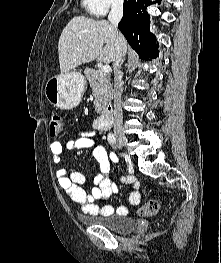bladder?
I'll return each mask as SVG.
<instances>
[{"mask_svg":"<svg viewBox=\"0 0 221 263\" xmlns=\"http://www.w3.org/2000/svg\"><path fill=\"white\" fill-rule=\"evenodd\" d=\"M80 220L90 225L100 226L116 233H128L137 227V221L118 214L81 217Z\"/></svg>","mask_w":221,"mask_h":263,"instance_id":"obj_1","label":"bladder"}]
</instances>
